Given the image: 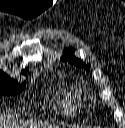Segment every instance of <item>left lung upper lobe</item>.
I'll return each mask as SVG.
<instances>
[{"label":"left lung upper lobe","mask_w":125,"mask_h":128,"mask_svg":"<svg viewBox=\"0 0 125 128\" xmlns=\"http://www.w3.org/2000/svg\"><path fill=\"white\" fill-rule=\"evenodd\" d=\"M73 53H74V51L72 48L65 49L63 52L62 59L64 61H68L70 63H73L76 66H80V67L84 66L85 69L89 70V66L85 65L80 59H77L76 57H74Z\"/></svg>","instance_id":"obj_1"}]
</instances>
